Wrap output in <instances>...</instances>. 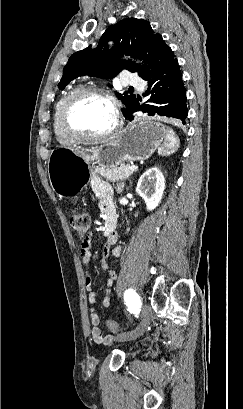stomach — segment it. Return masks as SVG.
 Returning <instances> with one entry per match:
<instances>
[{
  "instance_id": "obj_1",
  "label": "stomach",
  "mask_w": 243,
  "mask_h": 409,
  "mask_svg": "<svg viewBox=\"0 0 243 409\" xmlns=\"http://www.w3.org/2000/svg\"><path fill=\"white\" fill-rule=\"evenodd\" d=\"M166 128L153 118L132 121L112 140L96 147L54 149L48 160L52 189L59 196L81 192L91 177L94 165L117 167L125 161L149 158L165 138Z\"/></svg>"
}]
</instances>
